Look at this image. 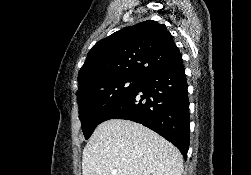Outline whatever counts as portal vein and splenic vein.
Returning <instances> with one entry per match:
<instances>
[{
    "mask_svg": "<svg viewBox=\"0 0 251 175\" xmlns=\"http://www.w3.org/2000/svg\"><path fill=\"white\" fill-rule=\"evenodd\" d=\"M111 173L112 175H115V173H117V169H111Z\"/></svg>",
    "mask_w": 251,
    "mask_h": 175,
    "instance_id": "portal-vein-and-splenic-vein-1",
    "label": "portal vein and splenic vein"
}]
</instances>
